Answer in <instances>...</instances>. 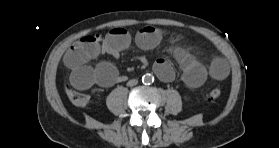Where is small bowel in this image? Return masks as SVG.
I'll return each mask as SVG.
<instances>
[{"label":"small bowel","instance_id":"obj_1","mask_svg":"<svg viewBox=\"0 0 279 148\" xmlns=\"http://www.w3.org/2000/svg\"><path fill=\"white\" fill-rule=\"evenodd\" d=\"M161 40L162 32L153 26L141 28L135 37L137 45L146 50L158 46ZM130 43L131 35L121 27L111 29L104 37L94 34L79 39L64 55V63L71 71L72 86L86 90L94 85L103 88L115 85L120 80V76L112 63L103 61L96 67H91L88 63L105 53L118 56L129 47ZM169 53L180 66L183 80L189 87L201 86L208 75L213 79L223 80L229 74V66L221 56L212 58L208 67H205L183 48L171 47ZM154 71L163 81H170L174 77L170 63L163 58L155 62Z\"/></svg>","mask_w":279,"mask_h":148}]
</instances>
